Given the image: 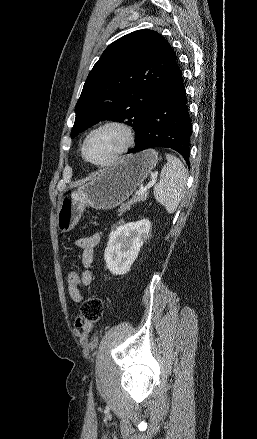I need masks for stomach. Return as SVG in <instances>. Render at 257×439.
Masks as SVG:
<instances>
[{"instance_id":"stomach-1","label":"stomach","mask_w":257,"mask_h":439,"mask_svg":"<svg viewBox=\"0 0 257 439\" xmlns=\"http://www.w3.org/2000/svg\"><path fill=\"white\" fill-rule=\"evenodd\" d=\"M157 162L158 153L153 149L127 155L76 191L63 195L57 209L58 229L62 233L73 229L86 207L110 210L122 204Z\"/></svg>"}]
</instances>
